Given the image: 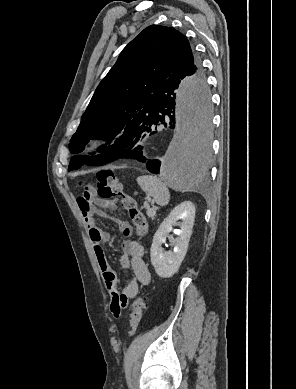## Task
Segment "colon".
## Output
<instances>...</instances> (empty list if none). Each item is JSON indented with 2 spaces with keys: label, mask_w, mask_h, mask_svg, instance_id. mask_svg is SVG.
I'll use <instances>...</instances> for the list:
<instances>
[{
  "label": "colon",
  "mask_w": 296,
  "mask_h": 389,
  "mask_svg": "<svg viewBox=\"0 0 296 389\" xmlns=\"http://www.w3.org/2000/svg\"><path fill=\"white\" fill-rule=\"evenodd\" d=\"M97 195L100 199L115 205L117 200H120L121 206L126 210L132 220L138 236H143L147 231V220L145 215L138 209L137 203L133 197L123 191L122 184L119 182L115 173L110 169H102L96 175ZM83 188V193L93 191L90 184L80 182ZM146 299L143 296L138 297L132 307L130 316V335H133L138 328L142 314L146 309ZM120 312H115L114 316L118 317Z\"/></svg>",
  "instance_id": "colon-1"
}]
</instances>
